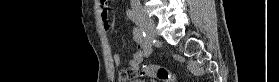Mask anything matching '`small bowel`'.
Returning a JSON list of instances; mask_svg holds the SVG:
<instances>
[{
	"mask_svg": "<svg viewBox=\"0 0 279 82\" xmlns=\"http://www.w3.org/2000/svg\"><path fill=\"white\" fill-rule=\"evenodd\" d=\"M99 7L101 9V19L104 28L107 30L110 28V22L108 19V12H107V1L101 0L99 2ZM133 40L136 43L137 50L134 52L130 62L129 66L126 69H121L118 73V77L120 80H127L129 78H132L138 74V71L140 69L141 63L146 57L145 55V41L141 36V32L138 28H134L132 31ZM113 63L118 66L121 63V55L119 53L113 54ZM121 74H125V77Z\"/></svg>",
	"mask_w": 279,
	"mask_h": 82,
	"instance_id": "c3829d8e",
	"label": "small bowel"
}]
</instances>
